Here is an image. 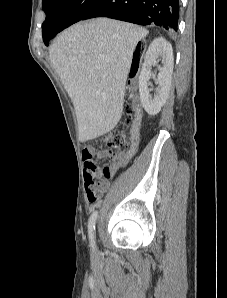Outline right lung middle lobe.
Here are the masks:
<instances>
[{"mask_svg": "<svg viewBox=\"0 0 227 298\" xmlns=\"http://www.w3.org/2000/svg\"><path fill=\"white\" fill-rule=\"evenodd\" d=\"M100 0H43L42 9L46 19L42 25L43 41L80 21Z\"/></svg>", "mask_w": 227, "mask_h": 298, "instance_id": "obj_1", "label": "right lung middle lobe"}]
</instances>
